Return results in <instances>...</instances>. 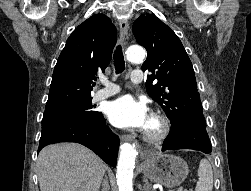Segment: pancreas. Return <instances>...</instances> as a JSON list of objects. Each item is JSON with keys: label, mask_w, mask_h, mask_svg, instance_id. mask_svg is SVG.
Wrapping results in <instances>:
<instances>
[{"label": "pancreas", "mask_w": 251, "mask_h": 191, "mask_svg": "<svg viewBox=\"0 0 251 191\" xmlns=\"http://www.w3.org/2000/svg\"><path fill=\"white\" fill-rule=\"evenodd\" d=\"M177 191H186V189H183V187H178Z\"/></svg>", "instance_id": "obj_1"}]
</instances>
